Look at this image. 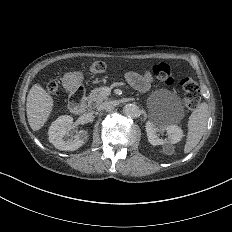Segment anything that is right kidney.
<instances>
[{"label":"right kidney","instance_id":"ca27d5eb","mask_svg":"<svg viewBox=\"0 0 232 232\" xmlns=\"http://www.w3.org/2000/svg\"><path fill=\"white\" fill-rule=\"evenodd\" d=\"M73 118L69 115L58 117L48 130L49 141L59 150L74 151L81 147L88 138L87 131L80 130L75 135L70 133Z\"/></svg>","mask_w":232,"mask_h":232}]
</instances>
